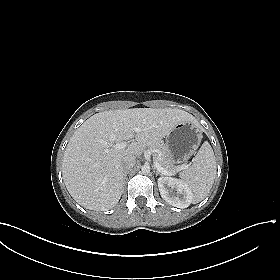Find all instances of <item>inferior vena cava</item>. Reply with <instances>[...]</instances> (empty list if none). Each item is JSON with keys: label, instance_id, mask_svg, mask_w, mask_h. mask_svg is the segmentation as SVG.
<instances>
[{"label": "inferior vena cava", "instance_id": "602c4592", "mask_svg": "<svg viewBox=\"0 0 280 280\" xmlns=\"http://www.w3.org/2000/svg\"><path fill=\"white\" fill-rule=\"evenodd\" d=\"M135 164H136L135 156L132 155L125 156L122 162L124 172H127L128 170L133 168Z\"/></svg>", "mask_w": 280, "mask_h": 280}]
</instances>
